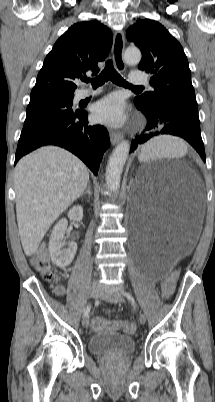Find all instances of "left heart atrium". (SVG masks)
<instances>
[{
  "label": "left heart atrium",
  "instance_id": "obj_1",
  "mask_svg": "<svg viewBox=\"0 0 215 402\" xmlns=\"http://www.w3.org/2000/svg\"><path fill=\"white\" fill-rule=\"evenodd\" d=\"M93 118L100 123L119 126L124 123L126 114L122 101L115 95H109L93 108Z\"/></svg>",
  "mask_w": 215,
  "mask_h": 402
}]
</instances>
